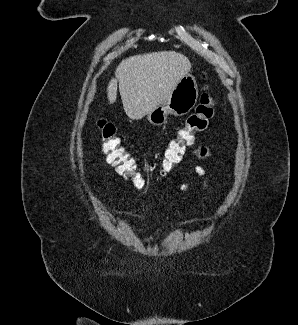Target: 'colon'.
Returning <instances> with one entry per match:
<instances>
[{"label": "colon", "instance_id": "1", "mask_svg": "<svg viewBox=\"0 0 298 325\" xmlns=\"http://www.w3.org/2000/svg\"><path fill=\"white\" fill-rule=\"evenodd\" d=\"M206 79V73L201 74ZM214 113V99L205 88L200 96L195 111L189 115L185 124L168 142L162 158L161 175L170 173L181 161L186 148L193 144L196 133L204 131ZM102 140V150L107 162L128 178L136 188H144L146 181L137 168L136 161L128 149L122 144L117 128L111 122L101 119L97 123Z\"/></svg>", "mask_w": 298, "mask_h": 325}]
</instances>
